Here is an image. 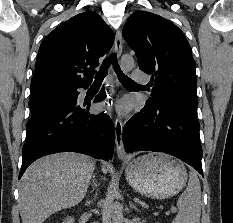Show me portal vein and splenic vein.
I'll return each instance as SVG.
<instances>
[{
	"label": "portal vein and splenic vein",
	"mask_w": 233,
	"mask_h": 223,
	"mask_svg": "<svg viewBox=\"0 0 233 223\" xmlns=\"http://www.w3.org/2000/svg\"><path fill=\"white\" fill-rule=\"evenodd\" d=\"M177 207H172L171 211H176Z\"/></svg>",
	"instance_id": "1"
}]
</instances>
